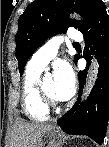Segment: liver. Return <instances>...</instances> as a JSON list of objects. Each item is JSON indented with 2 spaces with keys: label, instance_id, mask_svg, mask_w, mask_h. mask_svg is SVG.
Returning <instances> with one entry per match:
<instances>
[{
  "label": "liver",
  "instance_id": "liver-1",
  "mask_svg": "<svg viewBox=\"0 0 109 147\" xmlns=\"http://www.w3.org/2000/svg\"><path fill=\"white\" fill-rule=\"evenodd\" d=\"M54 127L52 124L19 120L12 127L8 147H38L40 138Z\"/></svg>",
  "mask_w": 109,
  "mask_h": 147
}]
</instances>
